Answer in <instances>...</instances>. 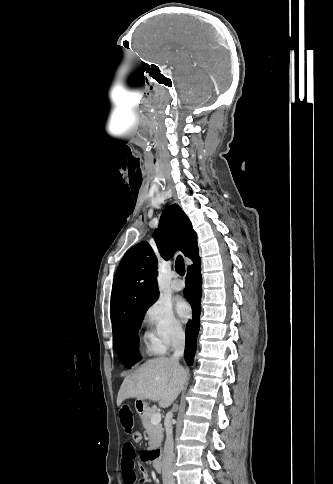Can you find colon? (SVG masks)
I'll use <instances>...</instances> for the list:
<instances>
[{
  "label": "colon",
  "mask_w": 333,
  "mask_h": 484,
  "mask_svg": "<svg viewBox=\"0 0 333 484\" xmlns=\"http://www.w3.org/2000/svg\"><path fill=\"white\" fill-rule=\"evenodd\" d=\"M134 442L139 443L142 440V434L139 431H134L132 434Z\"/></svg>",
  "instance_id": "colon-1"
}]
</instances>
